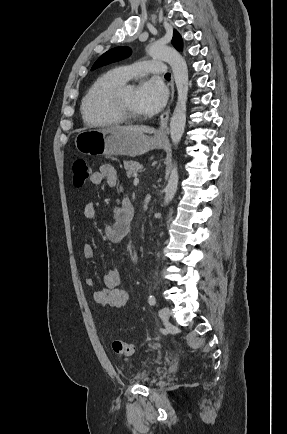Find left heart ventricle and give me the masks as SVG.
Listing matches in <instances>:
<instances>
[{"mask_svg":"<svg viewBox=\"0 0 287 434\" xmlns=\"http://www.w3.org/2000/svg\"><path fill=\"white\" fill-rule=\"evenodd\" d=\"M123 101L126 107L133 113L142 114L143 112L137 105L136 90L132 87L125 89L123 92Z\"/></svg>","mask_w":287,"mask_h":434,"instance_id":"obj_1","label":"left heart ventricle"}]
</instances>
